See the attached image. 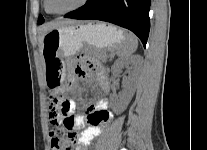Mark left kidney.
Returning <instances> with one entry per match:
<instances>
[{
    "label": "left kidney",
    "instance_id": "left-kidney-1",
    "mask_svg": "<svg viewBox=\"0 0 207 150\" xmlns=\"http://www.w3.org/2000/svg\"><path fill=\"white\" fill-rule=\"evenodd\" d=\"M140 64V57L139 56H129L126 58H120L116 60V62L112 66V73L113 75H117L121 72V70L128 66L132 65L135 68ZM126 89L123 91L122 95L120 96L119 100H115L114 98L111 99V108L116 114L122 113L128 106L130 100L132 99L135 93V86H134V74H132L129 78L125 80Z\"/></svg>",
    "mask_w": 207,
    "mask_h": 150
}]
</instances>
